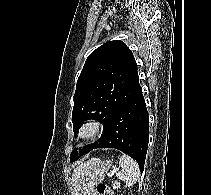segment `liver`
Masks as SVG:
<instances>
[{"label":"liver","instance_id":"6515ba94","mask_svg":"<svg viewBox=\"0 0 211 195\" xmlns=\"http://www.w3.org/2000/svg\"><path fill=\"white\" fill-rule=\"evenodd\" d=\"M93 159L87 161L86 163L78 164V166L74 169L72 175L73 181V195H79L82 186V178L84 176V172L87 169V164L92 161Z\"/></svg>","mask_w":211,"mask_h":195}]
</instances>
